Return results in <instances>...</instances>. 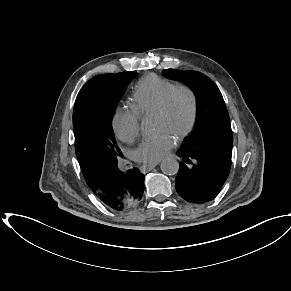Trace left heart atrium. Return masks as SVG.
I'll return each instance as SVG.
<instances>
[{"instance_id": "obj_1", "label": "left heart atrium", "mask_w": 291, "mask_h": 291, "mask_svg": "<svg viewBox=\"0 0 291 291\" xmlns=\"http://www.w3.org/2000/svg\"><path fill=\"white\" fill-rule=\"evenodd\" d=\"M175 139L167 131L145 138L135 151V159L143 163H154L163 159L174 146Z\"/></svg>"}]
</instances>
